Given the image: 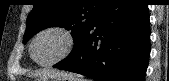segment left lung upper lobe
Returning <instances> with one entry per match:
<instances>
[{
  "label": "left lung upper lobe",
  "instance_id": "obj_1",
  "mask_svg": "<svg viewBox=\"0 0 169 81\" xmlns=\"http://www.w3.org/2000/svg\"><path fill=\"white\" fill-rule=\"evenodd\" d=\"M108 1L36 0L27 18V28L23 37V43L25 44L33 35L44 28L53 26L64 27L72 30L71 34L75 44L70 53L71 55Z\"/></svg>",
  "mask_w": 169,
  "mask_h": 81
}]
</instances>
